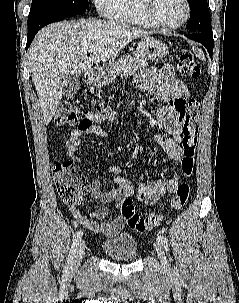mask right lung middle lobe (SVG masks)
Segmentation results:
<instances>
[{"mask_svg": "<svg viewBox=\"0 0 239 303\" xmlns=\"http://www.w3.org/2000/svg\"><path fill=\"white\" fill-rule=\"evenodd\" d=\"M88 8V0H32L28 24L49 15L85 12Z\"/></svg>", "mask_w": 239, "mask_h": 303, "instance_id": "right-lung-middle-lobe-1", "label": "right lung middle lobe"}]
</instances>
